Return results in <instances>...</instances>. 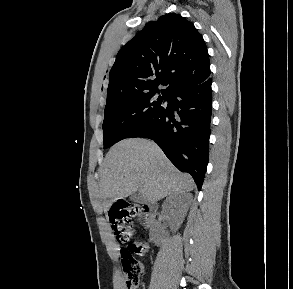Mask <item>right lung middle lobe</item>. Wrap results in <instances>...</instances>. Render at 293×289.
Returning a JSON list of instances; mask_svg holds the SVG:
<instances>
[{"instance_id": "obj_1", "label": "right lung middle lobe", "mask_w": 293, "mask_h": 289, "mask_svg": "<svg viewBox=\"0 0 293 289\" xmlns=\"http://www.w3.org/2000/svg\"><path fill=\"white\" fill-rule=\"evenodd\" d=\"M157 93L159 92L118 99L106 105L103 122L104 149L128 138L163 106V100L167 96L162 94L157 97Z\"/></svg>"}]
</instances>
